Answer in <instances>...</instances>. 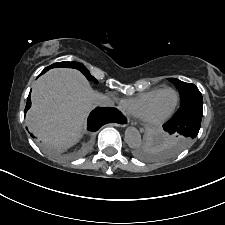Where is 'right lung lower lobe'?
<instances>
[{"instance_id":"98d812e1","label":"right lung lower lobe","mask_w":225,"mask_h":225,"mask_svg":"<svg viewBox=\"0 0 225 225\" xmlns=\"http://www.w3.org/2000/svg\"><path fill=\"white\" fill-rule=\"evenodd\" d=\"M49 68H45L43 70V73H45ZM31 101H30V95L27 98V104L25 108V112L30 108ZM118 117V113L114 108H101L97 107L95 110H93L88 118V130L90 131H97L102 125L107 123L108 121L112 120L113 118ZM33 137V135L31 134Z\"/></svg>"}]
</instances>
